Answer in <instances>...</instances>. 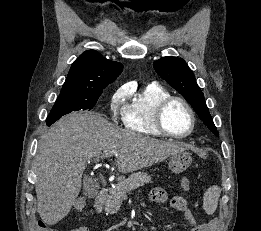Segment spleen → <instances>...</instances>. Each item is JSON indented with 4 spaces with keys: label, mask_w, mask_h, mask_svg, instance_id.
Masks as SVG:
<instances>
[{
    "label": "spleen",
    "mask_w": 261,
    "mask_h": 231,
    "mask_svg": "<svg viewBox=\"0 0 261 231\" xmlns=\"http://www.w3.org/2000/svg\"><path fill=\"white\" fill-rule=\"evenodd\" d=\"M221 190L218 186L209 187L204 193L203 208L207 214H213L217 208Z\"/></svg>",
    "instance_id": "obj_1"
}]
</instances>
